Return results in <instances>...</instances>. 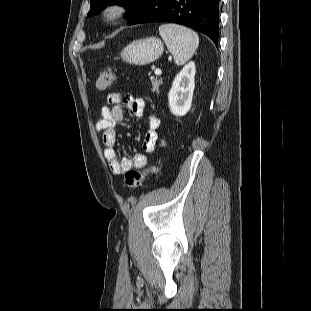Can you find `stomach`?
Segmentation results:
<instances>
[{
  "label": "stomach",
  "mask_w": 311,
  "mask_h": 311,
  "mask_svg": "<svg viewBox=\"0 0 311 311\" xmlns=\"http://www.w3.org/2000/svg\"><path fill=\"white\" fill-rule=\"evenodd\" d=\"M164 46L157 37L134 40L121 51V59L133 65L150 64L163 54Z\"/></svg>",
  "instance_id": "stomach-1"
}]
</instances>
